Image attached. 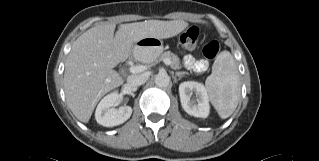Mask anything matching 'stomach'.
Returning <instances> with one entry per match:
<instances>
[{"mask_svg": "<svg viewBox=\"0 0 319 161\" xmlns=\"http://www.w3.org/2000/svg\"><path fill=\"white\" fill-rule=\"evenodd\" d=\"M163 41L154 37H147L139 40L133 47L134 57L145 63H151L161 55Z\"/></svg>", "mask_w": 319, "mask_h": 161, "instance_id": "0dacf381", "label": "stomach"}]
</instances>
